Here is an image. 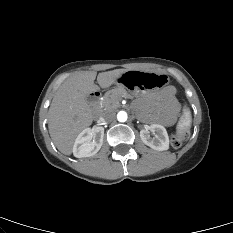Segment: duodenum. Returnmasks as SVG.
I'll use <instances>...</instances> for the list:
<instances>
[{"instance_id":"1","label":"duodenum","mask_w":233,"mask_h":233,"mask_svg":"<svg viewBox=\"0 0 233 233\" xmlns=\"http://www.w3.org/2000/svg\"><path fill=\"white\" fill-rule=\"evenodd\" d=\"M100 97H101V93L99 91H94L90 95V100L93 104L94 115H98L99 113Z\"/></svg>"}]
</instances>
